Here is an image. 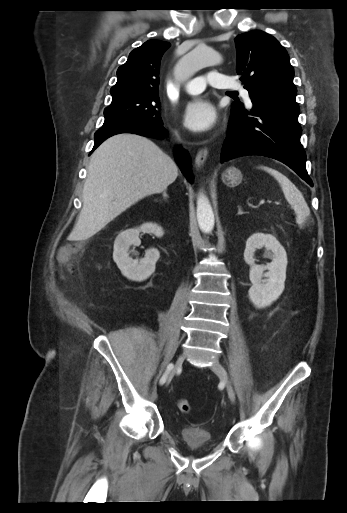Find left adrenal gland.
I'll use <instances>...</instances> for the list:
<instances>
[{
	"instance_id": "a2214340",
	"label": "left adrenal gland",
	"mask_w": 347,
	"mask_h": 513,
	"mask_svg": "<svg viewBox=\"0 0 347 513\" xmlns=\"http://www.w3.org/2000/svg\"><path fill=\"white\" fill-rule=\"evenodd\" d=\"M238 207V213L237 215H241L243 214L244 212L242 211V207L240 205L237 206Z\"/></svg>"
}]
</instances>
